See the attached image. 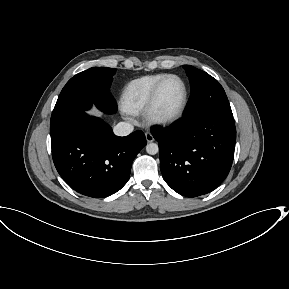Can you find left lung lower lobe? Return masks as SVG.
<instances>
[{"label":"left lung lower lobe","mask_w":289,"mask_h":289,"mask_svg":"<svg viewBox=\"0 0 289 289\" xmlns=\"http://www.w3.org/2000/svg\"><path fill=\"white\" fill-rule=\"evenodd\" d=\"M152 135L159 144L163 178L177 193L204 195L227 177L236 142L233 115L198 112Z\"/></svg>","instance_id":"1"}]
</instances>
